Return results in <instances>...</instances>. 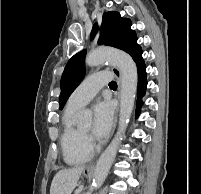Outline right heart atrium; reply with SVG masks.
<instances>
[{"mask_svg":"<svg viewBox=\"0 0 201 194\" xmlns=\"http://www.w3.org/2000/svg\"><path fill=\"white\" fill-rule=\"evenodd\" d=\"M86 141H87L88 145H90V143H91L90 139L86 137Z\"/></svg>","mask_w":201,"mask_h":194,"instance_id":"d8ad5b80","label":"right heart atrium"}]
</instances>
